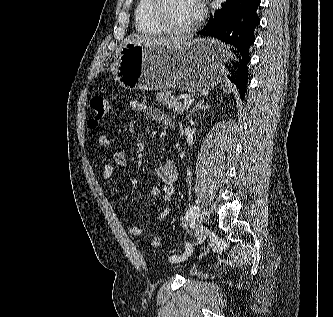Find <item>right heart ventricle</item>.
<instances>
[{
    "instance_id": "right-heart-ventricle-1",
    "label": "right heart ventricle",
    "mask_w": 333,
    "mask_h": 317,
    "mask_svg": "<svg viewBox=\"0 0 333 317\" xmlns=\"http://www.w3.org/2000/svg\"><path fill=\"white\" fill-rule=\"evenodd\" d=\"M151 0H138L134 20L137 30L147 36H160L165 32L154 21L150 12Z\"/></svg>"
}]
</instances>
